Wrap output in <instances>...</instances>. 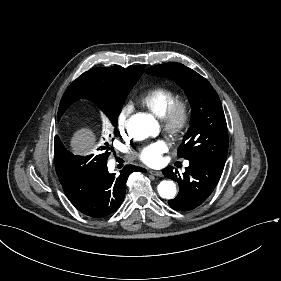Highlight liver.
Instances as JSON below:
<instances>
[{"instance_id": "liver-1", "label": "liver", "mask_w": 281, "mask_h": 281, "mask_svg": "<svg viewBox=\"0 0 281 281\" xmlns=\"http://www.w3.org/2000/svg\"><path fill=\"white\" fill-rule=\"evenodd\" d=\"M96 145V137L89 128L77 130L71 139V148L74 154L86 155Z\"/></svg>"}]
</instances>
